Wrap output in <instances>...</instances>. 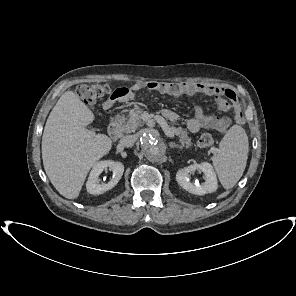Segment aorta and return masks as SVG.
<instances>
[{
    "instance_id": "762f6f07",
    "label": "aorta",
    "mask_w": 296,
    "mask_h": 296,
    "mask_svg": "<svg viewBox=\"0 0 296 296\" xmlns=\"http://www.w3.org/2000/svg\"><path fill=\"white\" fill-rule=\"evenodd\" d=\"M139 143L144 152L145 157L152 162L163 159L165 155V147L152 135L144 133L140 136Z\"/></svg>"
}]
</instances>
